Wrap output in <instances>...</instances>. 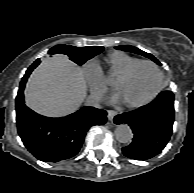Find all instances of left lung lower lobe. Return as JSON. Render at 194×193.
I'll return each instance as SVG.
<instances>
[{
    "instance_id": "left-lung-lower-lobe-1",
    "label": "left lung lower lobe",
    "mask_w": 194,
    "mask_h": 193,
    "mask_svg": "<svg viewBox=\"0 0 194 193\" xmlns=\"http://www.w3.org/2000/svg\"><path fill=\"white\" fill-rule=\"evenodd\" d=\"M116 124L126 123L133 131V140L122 148L123 154L135 160H147L158 155L168 143L174 122V95L161 92L148 105L115 116Z\"/></svg>"
}]
</instances>
